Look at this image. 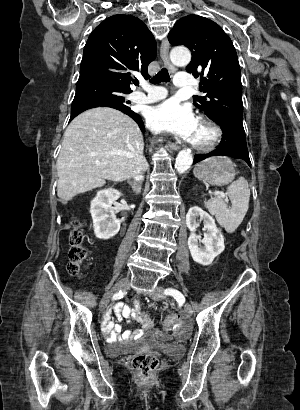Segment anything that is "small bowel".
<instances>
[{
	"mask_svg": "<svg viewBox=\"0 0 300 410\" xmlns=\"http://www.w3.org/2000/svg\"><path fill=\"white\" fill-rule=\"evenodd\" d=\"M113 316L117 318L115 322ZM122 319H133L141 324V328L135 332L123 331L122 325L119 323ZM153 323L151 319L145 316L138 309H131L123 303H117L109 308L102 319V331L104 336L109 341H116L118 339H128L131 337L139 338L149 331Z\"/></svg>",
	"mask_w": 300,
	"mask_h": 410,
	"instance_id": "obj_1",
	"label": "small bowel"
}]
</instances>
